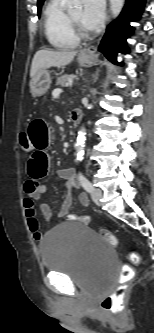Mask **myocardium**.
<instances>
[{
    "label": "myocardium",
    "mask_w": 154,
    "mask_h": 333,
    "mask_svg": "<svg viewBox=\"0 0 154 333\" xmlns=\"http://www.w3.org/2000/svg\"><path fill=\"white\" fill-rule=\"evenodd\" d=\"M67 20L69 22V25L74 33V35L78 39H87L91 37V32L88 30H85L78 22H76L69 13H67Z\"/></svg>",
    "instance_id": "obj_1"
}]
</instances>
